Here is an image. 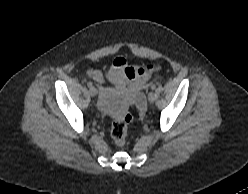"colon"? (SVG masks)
Segmentation results:
<instances>
[{
    "label": "colon",
    "mask_w": 248,
    "mask_h": 194,
    "mask_svg": "<svg viewBox=\"0 0 248 194\" xmlns=\"http://www.w3.org/2000/svg\"><path fill=\"white\" fill-rule=\"evenodd\" d=\"M133 114L131 111H127L124 115L113 122L111 127V137L118 147H123L126 144L127 129L133 121Z\"/></svg>",
    "instance_id": "1"
}]
</instances>
